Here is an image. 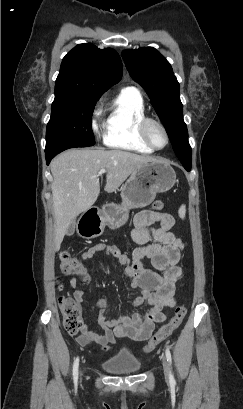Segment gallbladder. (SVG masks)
I'll use <instances>...</instances> for the list:
<instances>
[{"instance_id": "bac80fb5", "label": "gallbladder", "mask_w": 243, "mask_h": 409, "mask_svg": "<svg viewBox=\"0 0 243 409\" xmlns=\"http://www.w3.org/2000/svg\"><path fill=\"white\" fill-rule=\"evenodd\" d=\"M74 232H75V220H73V221L69 224V226H68V228H67V230H66V235H67V236H72V235L74 234Z\"/></svg>"}]
</instances>
